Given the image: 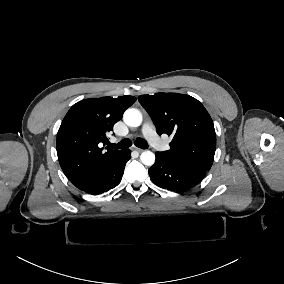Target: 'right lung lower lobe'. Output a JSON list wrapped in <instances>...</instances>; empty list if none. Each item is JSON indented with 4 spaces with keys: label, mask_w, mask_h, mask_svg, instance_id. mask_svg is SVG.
Listing matches in <instances>:
<instances>
[{
    "label": "right lung lower lobe",
    "mask_w": 284,
    "mask_h": 284,
    "mask_svg": "<svg viewBox=\"0 0 284 284\" xmlns=\"http://www.w3.org/2000/svg\"><path fill=\"white\" fill-rule=\"evenodd\" d=\"M130 157L131 151L123 150L119 156L79 189L91 195H98L116 187L121 181L125 164Z\"/></svg>",
    "instance_id": "obj_1"
}]
</instances>
